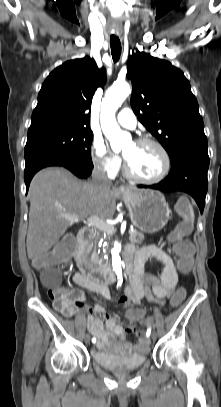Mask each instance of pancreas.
Returning <instances> with one entry per match:
<instances>
[{"mask_svg":"<svg viewBox=\"0 0 221 407\" xmlns=\"http://www.w3.org/2000/svg\"><path fill=\"white\" fill-rule=\"evenodd\" d=\"M102 232H104V231H102ZM99 237H100L99 232L90 234L89 239L87 241V249L89 252L95 248V240ZM129 240L131 243L141 244L144 240V234L142 232H138V231L134 230L130 233ZM93 258L97 263L100 262V258L95 251L93 252Z\"/></svg>","mask_w":221,"mask_h":407,"instance_id":"pancreas-1","label":"pancreas"}]
</instances>
